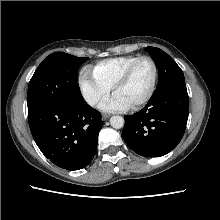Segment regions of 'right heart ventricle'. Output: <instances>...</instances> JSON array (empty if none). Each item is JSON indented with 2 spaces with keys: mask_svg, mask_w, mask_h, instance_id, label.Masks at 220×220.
Wrapping results in <instances>:
<instances>
[{
  "mask_svg": "<svg viewBox=\"0 0 220 220\" xmlns=\"http://www.w3.org/2000/svg\"><path fill=\"white\" fill-rule=\"evenodd\" d=\"M138 57L139 56L128 55L104 59L93 67V73L100 81L113 87L114 83L123 74L126 68Z\"/></svg>",
  "mask_w": 220,
  "mask_h": 220,
  "instance_id": "right-heart-ventricle-1",
  "label": "right heart ventricle"
}]
</instances>
